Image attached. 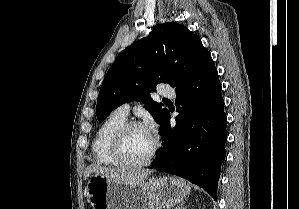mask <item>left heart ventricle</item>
Returning a JSON list of instances; mask_svg holds the SVG:
<instances>
[{
  "instance_id": "1",
  "label": "left heart ventricle",
  "mask_w": 299,
  "mask_h": 209,
  "mask_svg": "<svg viewBox=\"0 0 299 209\" xmlns=\"http://www.w3.org/2000/svg\"><path fill=\"white\" fill-rule=\"evenodd\" d=\"M152 146L153 139L148 130L133 128L124 138L122 156L127 162H141L148 156Z\"/></svg>"
}]
</instances>
